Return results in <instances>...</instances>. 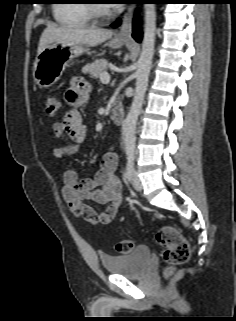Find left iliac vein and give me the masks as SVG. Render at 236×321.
<instances>
[{"mask_svg": "<svg viewBox=\"0 0 236 321\" xmlns=\"http://www.w3.org/2000/svg\"><path fill=\"white\" fill-rule=\"evenodd\" d=\"M131 182H132V186L134 187L135 190L142 191V189H143L142 182L137 174V171L134 169L131 174Z\"/></svg>", "mask_w": 236, "mask_h": 321, "instance_id": "4c4485c4", "label": "left iliac vein"}]
</instances>
